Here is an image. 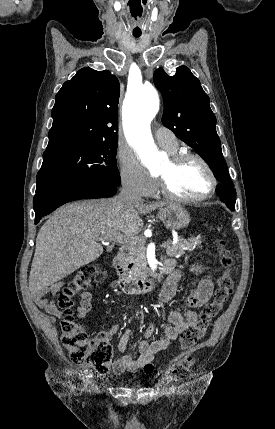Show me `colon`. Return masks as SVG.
Wrapping results in <instances>:
<instances>
[{
  "label": "colon",
  "mask_w": 275,
  "mask_h": 429,
  "mask_svg": "<svg viewBox=\"0 0 275 429\" xmlns=\"http://www.w3.org/2000/svg\"><path fill=\"white\" fill-rule=\"evenodd\" d=\"M215 248L222 268L218 287L213 300L202 308L195 325L181 336V351L164 371V377L167 380H178L186 376L194 363L192 349L206 336L212 321L222 311L232 294V254L223 239L215 241ZM99 274V266L86 265L71 278L60 293L59 306L64 311L61 321V340L74 363L86 364L97 372L106 373L109 371L113 359V348L109 339L100 335L90 339L73 317V298L81 291L96 286ZM151 369L152 366L148 367L147 372Z\"/></svg>",
  "instance_id": "obj_1"
}]
</instances>
